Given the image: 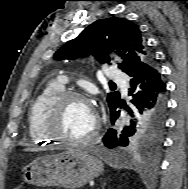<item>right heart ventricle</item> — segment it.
Instances as JSON below:
<instances>
[{
  "label": "right heart ventricle",
  "mask_w": 188,
  "mask_h": 189,
  "mask_svg": "<svg viewBox=\"0 0 188 189\" xmlns=\"http://www.w3.org/2000/svg\"><path fill=\"white\" fill-rule=\"evenodd\" d=\"M65 87L59 80L48 83L32 101L28 110V134L34 144L54 142L45 131V114L51 102L64 91Z\"/></svg>",
  "instance_id": "obj_1"
}]
</instances>
